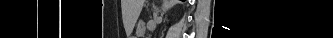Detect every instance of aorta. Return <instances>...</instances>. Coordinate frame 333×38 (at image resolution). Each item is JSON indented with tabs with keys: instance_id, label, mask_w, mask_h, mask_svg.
I'll return each instance as SVG.
<instances>
[{
	"instance_id": "obj_1",
	"label": "aorta",
	"mask_w": 333,
	"mask_h": 38,
	"mask_svg": "<svg viewBox=\"0 0 333 38\" xmlns=\"http://www.w3.org/2000/svg\"><path fill=\"white\" fill-rule=\"evenodd\" d=\"M158 20H162V16L158 17Z\"/></svg>"
}]
</instances>
